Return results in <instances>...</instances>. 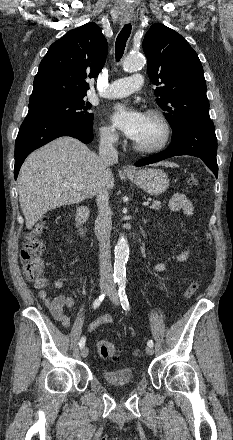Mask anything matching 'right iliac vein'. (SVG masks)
<instances>
[{"label": "right iliac vein", "instance_id": "right-iliac-vein-1", "mask_svg": "<svg viewBox=\"0 0 233 440\" xmlns=\"http://www.w3.org/2000/svg\"><path fill=\"white\" fill-rule=\"evenodd\" d=\"M107 289H108V286H107V285L104 284V285L101 286V292H102V293H104ZM88 352H89L88 348H87V347H83V348L81 349V356H82L83 358L87 357Z\"/></svg>", "mask_w": 233, "mask_h": 440}]
</instances>
